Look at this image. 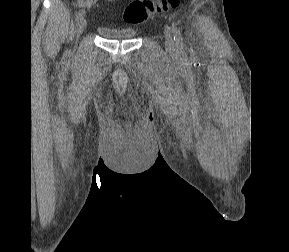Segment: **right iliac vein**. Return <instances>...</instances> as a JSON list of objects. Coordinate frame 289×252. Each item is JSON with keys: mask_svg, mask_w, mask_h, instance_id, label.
I'll use <instances>...</instances> for the list:
<instances>
[{"mask_svg": "<svg viewBox=\"0 0 289 252\" xmlns=\"http://www.w3.org/2000/svg\"><path fill=\"white\" fill-rule=\"evenodd\" d=\"M87 26V22L86 19L84 17H82L81 19H79L76 23V30H75V34H76V38L78 39L81 34L84 32V30L86 29Z\"/></svg>", "mask_w": 289, "mask_h": 252, "instance_id": "right-iliac-vein-1", "label": "right iliac vein"}]
</instances>
